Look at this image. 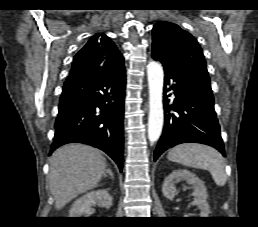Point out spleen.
<instances>
[{
    "label": "spleen",
    "instance_id": "3e777b00",
    "mask_svg": "<svg viewBox=\"0 0 258 227\" xmlns=\"http://www.w3.org/2000/svg\"><path fill=\"white\" fill-rule=\"evenodd\" d=\"M167 158L187 167L208 170L218 186L226 183L224 159L214 148L201 144H180L168 152Z\"/></svg>",
    "mask_w": 258,
    "mask_h": 227
}]
</instances>
